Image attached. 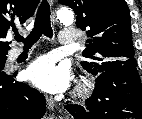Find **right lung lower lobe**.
I'll return each instance as SVG.
<instances>
[{
  "instance_id": "right-lung-lower-lobe-1",
  "label": "right lung lower lobe",
  "mask_w": 142,
  "mask_h": 119,
  "mask_svg": "<svg viewBox=\"0 0 142 119\" xmlns=\"http://www.w3.org/2000/svg\"><path fill=\"white\" fill-rule=\"evenodd\" d=\"M0 65V119H40L46 101L42 93L25 83L15 81L14 74Z\"/></svg>"
}]
</instances>
